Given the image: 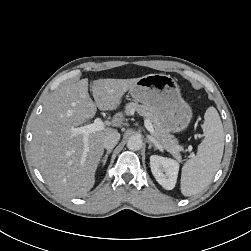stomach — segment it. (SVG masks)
<instances>
[{"mask_svg": "<svg viewBox=\"0 0 251 251\" xmlns=\"http://www.w3.org/2000/svg\"><path fill=\"white\" fill-rule=\"evenodd\" d=\"M129 93L136 102L157 110L162 124L169 131L181 132L191 122L192 109L182 98L176 81L169 75L142 76Z\"/></svg>", "mask_w": 251, "mask_h": 251, "instance_id": "stomach-1", "label": "stomach"}]
</instances>
